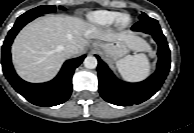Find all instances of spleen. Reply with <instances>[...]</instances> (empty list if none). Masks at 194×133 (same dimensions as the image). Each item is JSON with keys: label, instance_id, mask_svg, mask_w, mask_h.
I'll list each match as a JSON object with an SVG mask.
<instances>
[{"label": "spleen", "instance_id": "1", "mask_svg": "<svg viewBox=\"0 0 194 133\" xmlns=\"http://www.w3.org/2000/svg\"><path fill=\"white\" fill-rule=\"evenodd\" d=\"M116 67L124 80L139 82L150 74V64L145 54H136L117 61Z\"/></svg>", "mask_w": 194, "mask_h": 133}]
</instances>
